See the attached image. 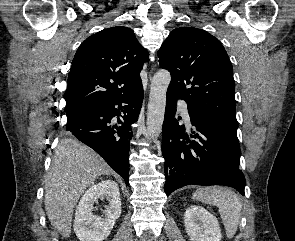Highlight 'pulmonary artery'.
<instances>
[{
  "instance_id": "pulmonary-artery-1",
  "label": "pulmonary artery",
  "mask_w": 295,
  "mask_h": 241,
  "mask_svg": "<svg viewBox=\"0 0 295 241\" xmlns=\"http://www.w3.org/2000/svg\"><path fill=\"white\" fill-rule=\"evenodd\" d=\"M178 107H179V110H180L181 114L183 115L185 121L189 123L190 122V116H189V113H188V107H187L186 102H184L182 100H179L178 101Z\"/></svg>"
}]
</instances>
